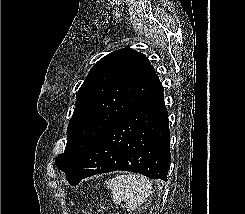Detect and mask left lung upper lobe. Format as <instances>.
<instances>
[{"mask_svg":"<svg viewBox=\"0 0 245 214\" xmlns=\"http://www.w3.org/2000/svg\"><path fill=\"white\" fill-rule=\"evenodd\" d=\"M161 86L145 55L130 48L98 61L77 93L64 153L56 166L67 175L83 153L119 117Z\"/></svg>","mask_w":245,"mask_h":214,"instance_id":"1","label":"left lung upper lobe"}]
</instances>
